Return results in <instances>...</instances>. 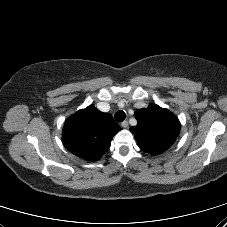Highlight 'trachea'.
<instances>
[{
    "label": "trachea",
    "mask_w": 227,
    "mask_h": 227,
    "mask_svg": "<svg viewBox=\"0 0 227 227\" xmlns=\"http://www.w3.org/2000/svg\"><path fill=\"white\" fill-rule=\"evenodd\" d=\"M126 117V114L124 111L120 110V111H117L114 115V118L117 122H122Z\"/></svg>",
    "instance_id": "obj_1"
}]
</instances>
